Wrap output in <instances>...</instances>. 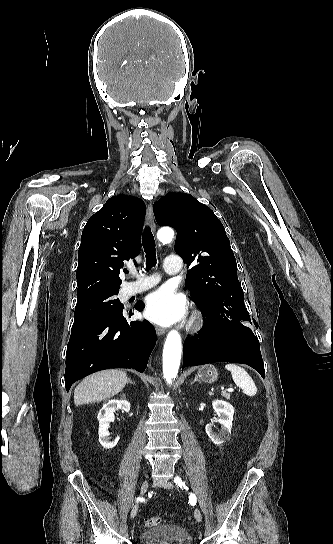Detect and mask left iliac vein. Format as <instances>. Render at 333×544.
<instances>
[{
    "mask_svg": "<svg viewBox=\"0 0 333 544\" xmlns=\"http://www.w3.org/2000/svg\"><path fill=\"white\" fill-rule=\"evenodd\" d=\"M154 483L162 488L170 489L173 487L172 483L169 482L167 479H156L154 480ZM194 516L197 522H201L202 516L201 512L198 509H195Z\"/></svg>",
    "mask_w": 333,
    "mask_h": 544,
    "instance_id": "obj_1",
    "label": "left iliac vein"
}]
</instances>
